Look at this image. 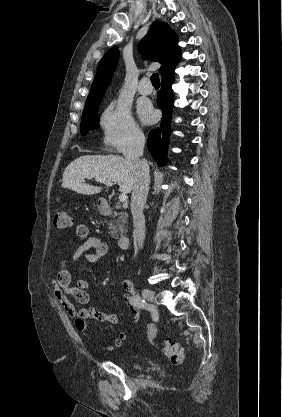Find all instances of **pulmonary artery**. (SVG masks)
Listing matches in <instances>:
<instances>
[{"label": "pulmonary artery", "mask_w": 282, "mask_h": 417, "mask_svg": "<svg viewBox=\"0 0 282 417\" xmlns=\"http://www.w3.org/2000/svg\"><path fill=\"white\" fill-rule=\"evenodd\" d=\"M149 82V79L148 78H146V77H144L141 81H140V83H139V85H138V92L141 94V95H149L151 92H152V87H150V86H145V84L146 83H148Z\"/></svg>", "instance_id": "1"}]
</instances>
